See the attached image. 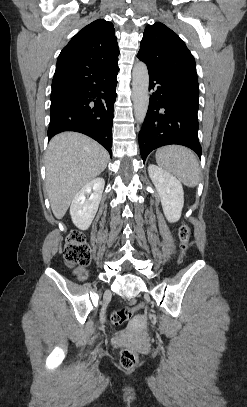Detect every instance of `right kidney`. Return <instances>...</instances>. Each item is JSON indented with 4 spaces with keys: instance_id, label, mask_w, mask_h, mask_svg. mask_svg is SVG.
<instances>
[{
    "instance_id": "right-kidney-1",
    "label": "right kidney",
    "mask_w": 247,
    "mask_h": 407,
    "mask_svg": "<svg viewBox=\"0 0 247 407\" xmlns=\"http://www.w3.org/2000/svg\"><path fill=\"white\" fill-rule=\"evenodd\" d=\"M104 185L103 178H95L83 186L73 198L70 215L77 228L87 230L90 227L98 210Z\"/></svg>"
}]
</instances>
